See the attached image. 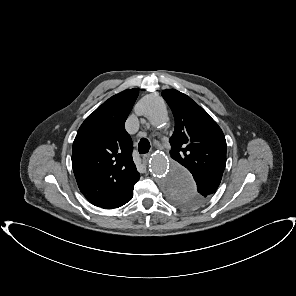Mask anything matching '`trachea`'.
<instances>
[{
  "label": "trachea",
  "instance_id": "trachea-1",
  "mask_svg": "<svg viewBox=\"0 0 296 296\" xmlns=\"http://www.w3.org/2000/svg\"><path fill=\"white\" fill-rule=\"evenodd\" d=\"M150 143L146 138H142L138 144V151L140 154H146L149 152Z\"/></svg>",
  "mask_w": 296,
  "mask_h": 296
}]
</instances>
